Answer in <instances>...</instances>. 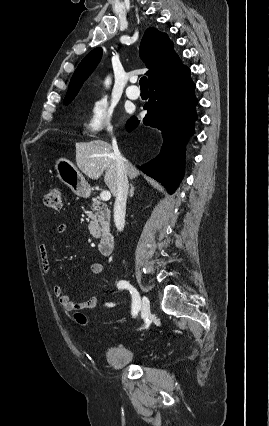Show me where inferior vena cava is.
Segmentation results:
<instances>
[{
	"label": "inferior vena cava",
	"mask_w": 269,
	"mask_h": 426,
	"mask_svg": "<svg viewBox=\"0 0 269 426\" xmlns=\"http://www.w3.org/2000/svg\"><path fill=\"white\" fill-rule=\"evenodd\" d=\"M113 153L116 160L117 169V184L115 192V204H114V222L119 231H122L125 226V213H126V201L128 195V177L127 168L128 162L119 152L117 142L115 139L112 140Z\"/></svg>",
	"instance_id": "inferior-vena-cava-1"
}]
</instances>
